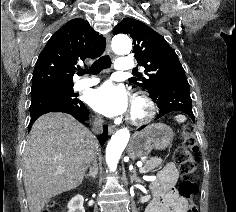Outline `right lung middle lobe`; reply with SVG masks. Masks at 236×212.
Here are the masks:
<instances>
[{"label":"right lung middle lobe","mask_w":236,"mask_h":212,"mask_svg":"<svg viewBox=\"0 0 236 212\" xmlns=\"http://www.w3.org/2000/svg\"><path fill=\"white\" fill-rule=\"evenodd\" d=\"M40 94H45L53 98L61 99L69 103L78 104L82 103L79 99H77V95L74 94L73 85L69 86H60V87H49L45 89H41L38 91Z\"/></svg>","instance_id":"right-lung-middle-lobe-1"}]
</instances>
